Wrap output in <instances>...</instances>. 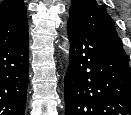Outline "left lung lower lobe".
Returning a JSON list of instances; mask_svg holds the SVG:
<instances>
[{"instance_id": "1", "label": "left lung lower lobe", "mask_w": 131, "mask_h": 115, "mask_svg": "<svg viewBox=\"0 0 131 115\" xmlns=\"http://www.w3.org/2000/svg\"><path fill=\"white\" fill-rule=\"evenodd\" d=\"M64 78L66 115H131L129 62L72 20Z\"/></svg>"}]
</instances>
